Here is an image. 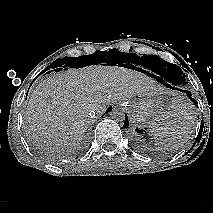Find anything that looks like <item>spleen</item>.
Wrapping results in <instances>:
<instances>
[{"mask_svg":"<svg viewBox=\"0 0 213 213\" xmlns=\"http://www.w3.org/2000/svg\"><path fill=\"white\" fill-rule=\"evenodd\" d=\"M156 120L158 124L150 129L155 145L166 149L178 147L192 128V106L174 102Z\"/></svg>","mask_w":213,"mask_h":213,"instance_id":"3e777b00","label":"spleen"}]
</instances>
